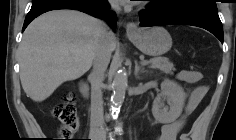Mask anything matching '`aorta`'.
<instances>
[{"label": "aorta", "instance_id": "762f6f07", "mask_svg": "<svg viewBox=\"0 0 236 140\" xmlns=\"http://www.w3.org/2000/svg\"><path fill=\"white\" fill-rule=\"evenodd\" d=\"M127 85L128 78L126 72L123 70H118L114 75L112 83V109H117L124 102Z\"/></svg>", "mask_w": 236, "mask_h": 140}]
</instances>
